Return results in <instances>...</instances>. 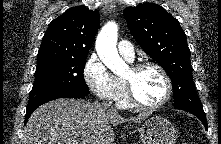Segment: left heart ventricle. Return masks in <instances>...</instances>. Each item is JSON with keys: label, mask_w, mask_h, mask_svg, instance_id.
Segmentation results:
<instances>
[{"label": "left heart ventricle", "mask_w": 221, "mask_h": 144, "mask_svg": "<svg viewBox=\"0 0 221 144\" xmlns=\"http://www.w3.org/2000/svg\"><path fill=\"white\" fill-rule=\"evenodd\" d=\"M125 78L132 81L137 98L144 104H156L165 95L164 79L155 68H146L138 74L130 69Z\"/></svg>", "instance_id": "left-heart-ventricle-1"}]
</instances>
